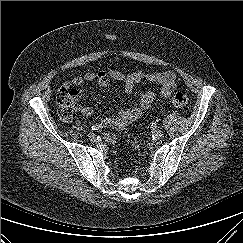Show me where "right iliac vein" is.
Instances as JSON below:
<instances>
[{
    "mask_svg": "<svg viewBox=\"0 0 243 243\" xmlns=\"http://www.w3.org/2000/svg\"><path fill=\"white\" fill-rule=\"evenodd\" d=\"M88 138L90 141L95 142L96 141V135L94 133H89Z\"/></svg>",
    "mask_w": 243,
    "mask_h": 243,
    "instance_id": "right-iliac-vein-1",
    "label": "right iliac vein"
}]
</instances>
